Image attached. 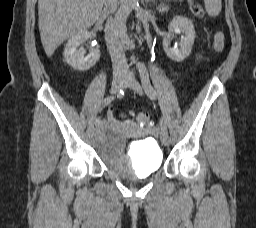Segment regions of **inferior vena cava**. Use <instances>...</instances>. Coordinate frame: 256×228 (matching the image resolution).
<instances>
[{
  "label": "inferior vena cava",
  "instance_id": "602c4592",
  "mask_svg": "<svg viewBox=\"0 0 256 228\" xmlns=\"http://www.w3.org/2000/svg\"><path fill=\"white\" fill-rule=\"evenodd\" d=\"M118 0H103L104 12L109 14L117 7ZM105 40L112 60L114 75L127 74L128 64L121 46L115 19L108 18L105 25Z\"/></svg>",
  "mask_w": 256,
  "mask_h": 228
}]
</instances>
